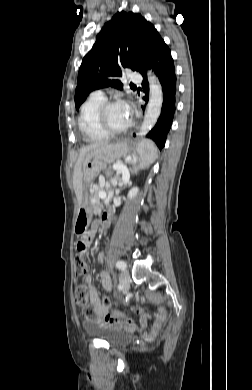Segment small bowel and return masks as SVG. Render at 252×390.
Masks as SVG:
<instances>
[{
  "label": "small bowel",
  "mask_w": 252,
  "mask_h": 390,
  "mask_svg": "<svg viewBox=\"0 0 252 390\" xmlns=\"http://www.w3.org/2000/svg\"><path fill=\"white\" fill-rule=\"evenodd\" d=\"M109 222H110V213H109V211H104L101 215L100 220L95 221L92 224L90 231L87 232L88 244L90 243L94 234L99 230V228L104 229V228L108 227ZM76 248L79 251L78 243L76 245ZM98 259H99V261H102L103 253L99 254ZM100 277H101V283H102L104 290L107 292H110L112 290V283H111V279H110L109 274L106 271H102L100 274ZM85 283L87 284V287H88V295H89L90 304L95 309L98 318L101 319V318L105 317L107 314H109L110 306H106L104 304L103 299L100 298L96 288L92 285V280L90 277L85 278ZM132 310H133L134 316L139 317L140 326L137 325L136 320L133 316H128V315H125L126 319H125L124 324L128 325V327L130 329H134V330L144 328L146 326V323H147V314L141 308H133ZM164 319H165V312L163 310H161V312L158 316V320L163 321ZM87 323H89V320L87 321Z\"/></svg>",
  "instance_id": "c3829d8e"
}]
</instances>
